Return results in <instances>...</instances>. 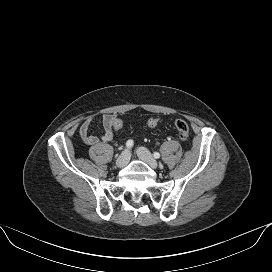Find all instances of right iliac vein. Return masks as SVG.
<instances>
[{
  "label": "right iliac vein",
  "instance_id": "63e3f726",
  "mask_svg": "<svg viewBox=\"0 0 272 272\" xmlns=\"http://www.w3.org/2000/svg\"><path fill=\"white\" fill-rule=\"evenodd\" d=\"M129 158H130L129 151L128 150L123 151L116 160V166L119 168L125 167L129 162Z\"/></svg>",
  "mask_w": 272,
  "mask_h": 272
}]
</instances>
